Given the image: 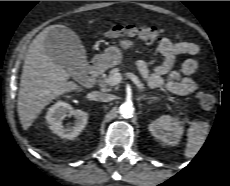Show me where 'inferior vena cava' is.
Instances as JSON below:
<instances>
[{
    "mask_svg": "<svg viewBox=\"0 0 230 186\" xmlns=\"http://www.w3.org/2000/svg\"><path fill=\"white\" fill-rule=\"evenodd\" d=\"M92 99L101 102H108L112 98L110 94L95 91L92 93Z\"/></svg>",
    "mask_w": 230,
    "mask_h": 186,
    "instance_id": "obj_1",
    "label": "inferior vena cava"
}]
</instances>
